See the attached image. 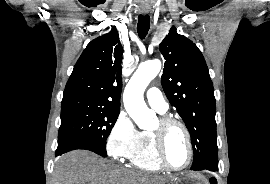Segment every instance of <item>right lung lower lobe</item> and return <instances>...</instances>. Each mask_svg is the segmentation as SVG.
Instances as JSON below:
<instances>
[{
  "mask_svg": "<svg viewBox=\"0 0 270 184\" xmlns=\"http://www.w3.org/2000/svg\"><path fill=\"white\" fill-rule=\"evenodd\" d=\"M76 149L89 150L103 157H107L106 151L100 149L95 144L86 142V141H69V142L62 143L58 145L55 155L58 156L65 152L76 150Z\"/></svg>",
  "mask_w": 270,
  "mask_h": 184,
  "instance_id": "98d812e1",
  "label": "right lung lower lobe"
}]
</instances>
